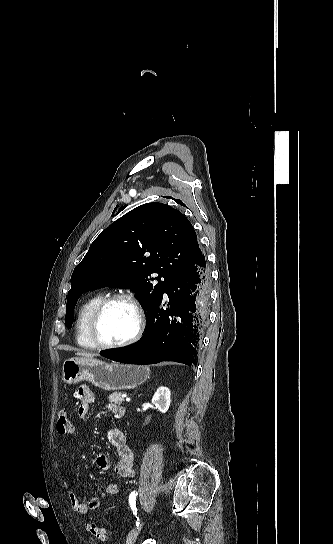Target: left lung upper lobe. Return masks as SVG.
<instances>
[{"instance_id": "obj_1", "label": "left lung upper lobe", "mask_w": 333, "mask_h": 544, "mask_svg": "<svg viewBox=\"0 0 333 544\" xmlns=\"http://www.w3.org/2000/svg\"><path fill=\"white\" fill-rule=\"evenodd\" d=\"M201 253L194 228L180 211L162 203L133 209L94 240L74 269L65 326L71 328L76 302L90 289L130 288L148 312Z\"/></svg>"}]
</instances>
